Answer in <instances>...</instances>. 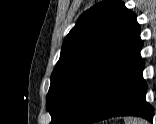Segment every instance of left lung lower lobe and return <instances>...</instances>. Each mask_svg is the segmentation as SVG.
I'll return each mask as SVG.
<instances>
[{
  "label": "left lung lower lobe",
  "instance_id": "1",
  "mask_svg": "<svg viewBox=\"0 0 156 124\" xmlns=\"http://www.w3.org/2000/svg\"><path fill=\"white\" fill-rule=\"evenodd\" d=\"M142 46L140 41L107 77L78 124L125 115L141 116L152 122L154 110L145 101L147 84L142 77Z\"/></svg>",
  "mask_w": 156,
  "mask_h": 124
}]
</instances>
